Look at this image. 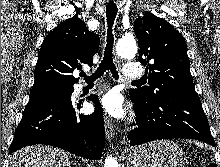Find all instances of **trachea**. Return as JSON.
Masks as SVG:
<instances>
[{
    "label": "trachea",
    "mask_w": 220,
    "mask_h": 167,
    "mask_svg": "<svg viewBox=\"0 0 220 167\" xmlns=\"http://www.w3.org/2000/svg\"><path fill=\"white\" fill-rule=\"evenodd\" d=\"M118 9L115 5H107L106 6V17H107V39H106V47L104 51V57L102 62L99 64V67L91 76H87L85 73H81L80 76L84 77L87 83H93L97 78H100L107 70H110L112 76L115 79H118V72L116 70V66L113 63V44L114 37L112 33V26L114 24V20L116 18Z\"/></svg>",
    "instance_id": "trachea-1"
}]
</instances>
